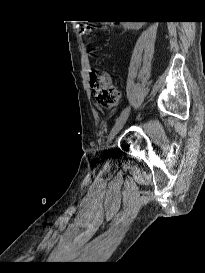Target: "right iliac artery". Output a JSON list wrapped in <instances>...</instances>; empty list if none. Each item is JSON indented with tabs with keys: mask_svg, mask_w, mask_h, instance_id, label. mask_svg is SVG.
<instances>
[{
	"mask_svg": "<svg viewBox=\"0 0 205 273\" xmlns=\"http://www.w3.org/2000/svg\"><path fill=\"white\" fill-rule=\"evenodd\" d=\"M130 110V107H126L125 109L122 110V112L120 113V115H122L123 113H126Z\"/></svg>",
	"mask_w": 205,
	"mask_h": 273,
	"instance_id": "1",
	"label": "right iliac artery"
}]
</instances>
